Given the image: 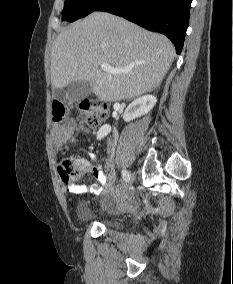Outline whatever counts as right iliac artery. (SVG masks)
Wrapping results in <instances>:
<instances>
[{
  "label": "right iliac artery",
  "instance_id": "82829eb1",
  "mask_svg": "<svg viewBox=\"0 0 233 284\" xmlns=\"http://www.w3.org/2000/svg\"><path fill=\"white\" fill-rule=\"evenodd\" d=\"M122 177H123V179L126 181V182H128L127 181V178L129 177V172L127 171V170H122Z\"/></svg>",
  "mask_w": 233,
  "mask_h": 284
}]
</instances>
